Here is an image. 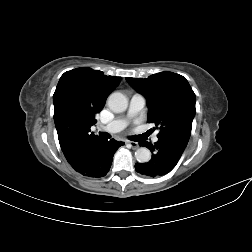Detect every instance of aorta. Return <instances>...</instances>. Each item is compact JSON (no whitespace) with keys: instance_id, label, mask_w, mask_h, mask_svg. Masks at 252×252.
Wrapping results in <instances>:
<instances>
[{"instance_id":"aorta-1","label":"aorta","mask_w":252,"mask_h":252,"mask_svg":"<svg viewBox=\"0 0 252 252\" xmlns=\"http://www.w3.org/2000/svg\"><path fill=\"white\" fill-rule=\"evenodd\" d=\"M108 106L114 112H123L128 107V99L120 92H114L108 97ZM135 158L140 163H146L151 159V152L146 147H140L135 151Z\"/></svg>"}]
</instances>
